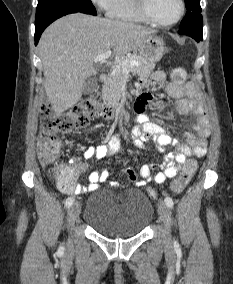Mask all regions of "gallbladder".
Returning <instances> with one entry per match:
<instances>
[{"label":"gallbladder","mask_w":233,"mask_h":284,"mask_svg":"<svg viewBox=\"0 0 233 284\" xmlns=\"http://www.w3.org/2000/svg\"><path fill=\"white\" fill-rule=\"evenodd\" d=\"M97 85V79L95 76L87 78L84 83L83 93L87 95L92 94L96 91Z\"/></svg>","instance_id":"obj_1"}]
</instances>
